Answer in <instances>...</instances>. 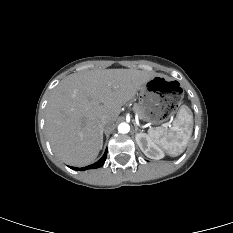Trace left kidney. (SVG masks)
Wrapping results in <instances>:
<instances>
[{"label": "left kidney", "instance_id": "obj_1", "mask_svg": "<svg viewBox=\"0 0 233 233\" xmlns=\"http://www.w3.org/2000/svg\"><path fill=\"white\" fill-rule=\"evenodd\" d=\"M136 142L147 157L156 160L164 157L163 151L153 142L149 135L145 133L136 134Z\"/></svg>", "mask_w": 233, "mask_h": 233}]
</instances>
